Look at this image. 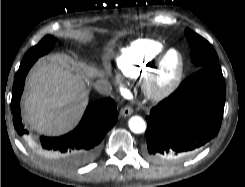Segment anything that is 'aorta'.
Returning <instances> with one entry per match:
<instances>
[{"instance_id": "762f6f07", "label": "aorta", "mask_w": 245, "mask_h": 187, "mask_svg": "<svg viewBox=\"0 0 245 187\" xmlns=\"http://www.w3.org/2000/svg\"><path fill=\"white\" fill-rule=\"evenodd\" d=\"M129 128L134 133H143L146 130V123L139 116H133L129 120Z\"/></svg>"}]
</instances>
